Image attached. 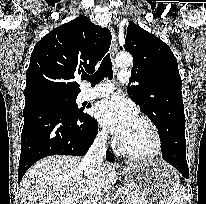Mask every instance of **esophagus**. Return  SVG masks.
Returning <instances> with one entry per match:
<instances>
[{
  "mask_svg": "<svg viewBox=\"0 0 206 204\" xmlns=\"http://www.w3.org/2000/svg\"><path fill=\"white\" fill-rule=\"evenodd\" d=\"M109 30H110L111 36H112L110 52H111L112 58H114L115 54L117 53L116 33H115V30L113 29L112 26H109Z\"/></svg>",
  "mask_w": 206,
  "mask_h": 204,
  "instance_id": "34e87169",
  "label": "esophagus"
}]
</instances>
